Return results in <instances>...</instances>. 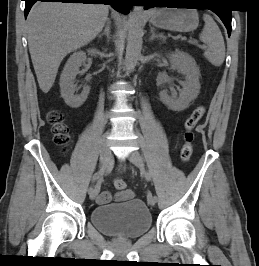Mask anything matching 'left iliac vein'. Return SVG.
<instances>
[{
  "mask_svg": "<svg viewBox=\"0 0 259 266\" xmlns=\"http://www.w3.org/2000/svg\"><path fill=\"white\" fill-rule=\"evenodd\" d=\"M128 159L141 171H144L143 158L138 151H132L128 154ZM149 205L154 206L156 204L154 196L147 198Z\"/></svg>",
  "mask_w": 259,
  "mask_h": 266,
  "instance_id": "1",
  "label": "left iliac vein"
}]
</instances>
